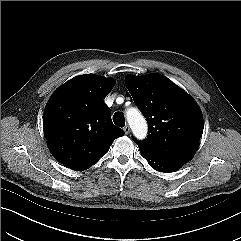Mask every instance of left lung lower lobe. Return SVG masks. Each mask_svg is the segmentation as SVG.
Returning a JSON list of instances; mask_svg holds the SVG:
<instances>
[{
    "label": "left lung lower lobe",
    "instance_id": "1",
    "mask_svg": "<svg viewBox=\"0 0 241 241\" xmlns=\"http://www.w3.org/2000/svg\"><path fill=\"white\" fill-rule=\"evenodd\" d=\"M140 153L143 158H145L149 165L153 167L155 170L160 172H173L178 170L182 164L169 161L163 158L158 157L142 148L139 147Z\"/></svg>",
    "mask_w": 241,
    "mask_h": 241
}]
</instances>
